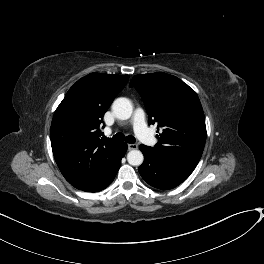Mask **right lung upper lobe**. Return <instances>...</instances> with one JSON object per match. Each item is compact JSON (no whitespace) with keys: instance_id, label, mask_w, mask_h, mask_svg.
<instances>
[{"instance_id":"1","label":"right lung upper lobe","mask_w":264,"mask_h":264,"mask_svg":"<svg viewBox=\"0 0 264 264\" xmlns=\"http://www.w3.org/2000/svg\"><path fill=\"white\" fill-rule=\"evenodd\" d=\"M129 75L90 73L79 79L57 107L50 129L55 161L65 179L83 189L114 167L121 142L100 138L103 115Z\"/></svg>"}]
</instances>
